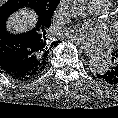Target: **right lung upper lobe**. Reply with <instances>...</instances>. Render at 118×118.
<instances>
[{
  "mask_svg": "<svg viewBox=\"0 0 118 118\" xmlns=\"http://www.w3.org/2000/svg\"><path fill=\"white\" fill-rule=\"evenodd\" d=\"M50 25L51 23L36 26V28L31 31L33 39L35 40L37 46V55L35 63H36V71L38 73H41L46 68L49 58V50L55 44V42H52L50 44L45 36L46 29L49 28Z\"/></svg>",
  "mask_w": 118,
  "mask_h": 118,
  "instance_id": "cb5924a9",
  "label": "right lung upper lobe"
}]
</instances>
